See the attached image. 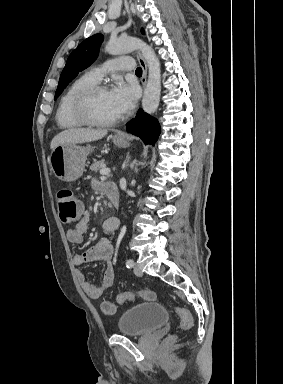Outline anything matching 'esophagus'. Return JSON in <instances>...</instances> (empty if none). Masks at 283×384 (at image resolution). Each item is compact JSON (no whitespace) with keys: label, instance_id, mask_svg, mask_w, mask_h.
Returning a JSON list of instances; mask_svg holds the SVG:
<instances>
[{"label":"esophagus","instance_id":"1","mask_svg":"<svg viewBox=\"0 0 283 384\" xmlns=\"http://www.w3.org/2000/svg\"><path fill=\"white\" fill-rule=\"evenodd\" d=\"M136 54H137V58H138V61L140 63V66L142 67L141 83H142L143 88H145L146 87V77H147L146 62H145L144 58L142 57V55L140 54V52H136ZM117 135L120 136V137H124L125 136L122 133H118Z\"/></svg>","mask_w":283,"mask_h":384}]
</instances>
